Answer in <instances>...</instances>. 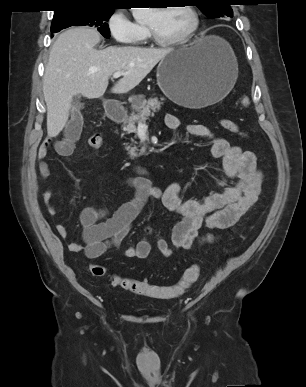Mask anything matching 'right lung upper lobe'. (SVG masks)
<instances>
[{
	"label": "right lung upper lobe",
	"instance_id": "1",
	"mask_svg": "<svg viewBox=\"0 0 306 387\" xmlns=\"http://www.w3.org/2000/svg\"><path fill=\"white\" fill-rule=\"evenodd\" d=\"M58 8L54 14H58L69 8H110L114 9L116 0H58Z\"/></svg>",
	"mask_w": 306,
	"mask_h": 387
}]
</instances>
